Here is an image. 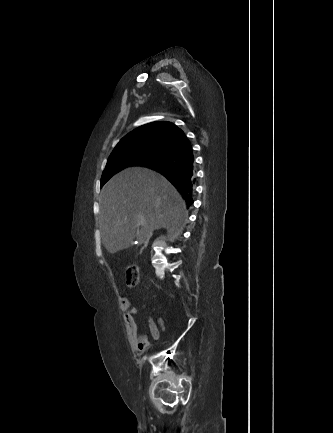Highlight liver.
I'll return each mask as SVG.
<instances>
[{
	"label": "liver",
	"instance_id": "1",
	"mask_svg": "<svg viewBox=\"0 0 333 433\" xmlns=\"http://www.w3.org/2000/svg\"><path fill=\"white\" fill-rule=\"evenodd\" d=\"M186 217V203L174 186L144 167L120 171L101 191L99 225L103 244L111 254L132 246L139 226L141 242L161 228L175 238Z\"/></svg>",
	"mask_w": 333,
	"mask_h": 433
}]
</instances>
